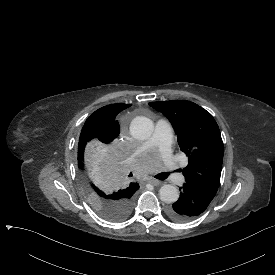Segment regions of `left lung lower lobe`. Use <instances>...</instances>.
I'll list each match as a JSON object with an SVG mask.
<instances>
[{
  "instance_id": "obj_1",
  "label": "left lung lower lobe",
  "mask_w": 275,
  "mask_h": 275,
  "mask_svg": "<svg viewBox=\"0 0 275 275\" xmlns=\"http://www.w3.org/2000/svg\"><path fill=\"white\" fill-rule=\"evenodd\" d=\"M214 196L196 186L184 184L180 198L167 209V215L176 222H186L203 213Z\"/></svg>"
}]
</instances>
